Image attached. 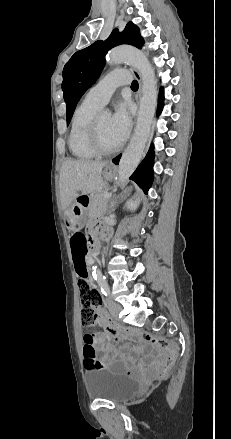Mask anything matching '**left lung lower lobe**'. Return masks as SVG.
Returning a JSON list of instances; mask_svg holds the SVG:
<instances>
[{
  "label": "left lung lower lobe",
  "instance_id": "0a47b994",
  "mask_svg": "<svg viewBox=\"0 0 231 439\" xmlns=\"http://www.w3.org/2000/svg\"><path fill=\"white\" fill-rule=\"evenodd\" d=\"M163 99H164V91L163 88H161L159 95L158 109H157L158 115L161 113L163 108ZM120 157L121 155L117 156L112 160V162L118 164ZM153 159H154V151H153V147H151L145 159L142 161V163L138 166V168L130 177V179L134 180L144 190L145 193L148 192L153 179Z\"/></svg>",
  "mask_w": 231,
  "mask_h": 439
}]
</instances>
